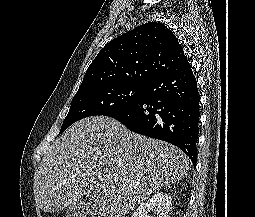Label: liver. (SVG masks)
<instances>
[{
    "label": "liver",
    "mask_w": 255,
    "mask_h": 217,
    "mask_svg": "<svg viewBox=\"0 0 255 217\" xmlns=\"http://www.w3.org/2000/svg\"><path fill=\"white\" fill-rule=\"evenodd\" d=\"M188 170L189 158L176 146L106 116L88 117L70 126L43 157L34 197L44 212L89 200L98 217H121Z\"/></svg>",
    "instance_id": "6515ba94"
}]
</instances>
